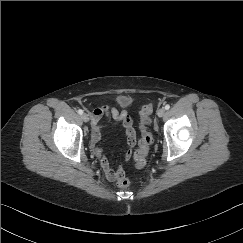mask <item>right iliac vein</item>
I'll return each mask as SVG.
<instances>
[{"label": "right iliac vein", "mask_w": 243, "mask_h": 243, "mask_svg": "<svg viewBox=\"0 0 243 243\" xmlns=\"http://www.w3.org/2000/svg\"><path fill=\"white\" fill-rule=\"evenodd\" d=\"M82 120H83L84 122H88V121H89V117H88V115H87L86 113H84V114L82 115Z\"/></svg>", "instance_id": "63e3f726"}]
</instances>
